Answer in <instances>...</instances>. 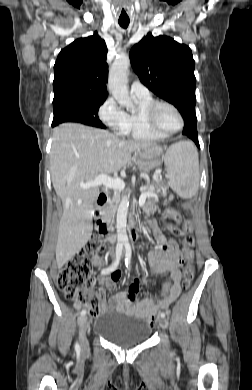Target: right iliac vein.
I'll list each match as a JSON object with an SVG mask.
<instances>
[{
	"label": "right iliac vein",
	"mask_w": 252,
	"mask_h": 390,
	"mask_svg": "<svg viewBox=\"0 0 252 390\" xmlns=\"http://www.w3.org/2000/svg\"><path fill=\"white\" fill-rule=\"evenodd\" d=\"M79 341L82 349L86 350L88 348V339L87 335L89 332V322L86 316H82L79 319Z\"/></svg>",
	"instance_id": "1"
}]
</instances>
